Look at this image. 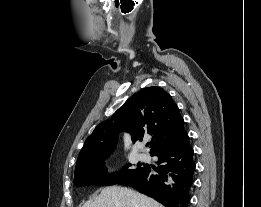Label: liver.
Wrapping results in <instances>:
<instances>
[{
	"label": "liver",
	"mask_w": 261,
	"mask_h": 207,
	"mask_svg": "<svg viewBox=\"0 0 261 207\" xmlns=\"http://www.w3.org/2000/svg\"><path fill=\"white\" fill-rule=\"evenodd\" d=\"M83 207H164L152 198L134 190L111 186L100 189V194Z\"/></svg>",
	"instance_id": "1"
}]
</instances>
